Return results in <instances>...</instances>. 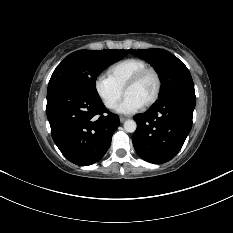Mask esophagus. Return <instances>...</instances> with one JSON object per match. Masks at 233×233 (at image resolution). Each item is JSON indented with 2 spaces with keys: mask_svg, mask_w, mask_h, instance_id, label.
Segmentation results:
<instances>
[{
  "mask_svg": "<svg viewBox=\"0 0 233 233\" xmlns=\"http://www.w3.org/2000/svg\"><path fill=\"white\" fill-rule=\"evenodd\" d=\"M127 118L126 117H123V116H120L119 120L121 123H123Z\"/></svg>",
  "mask_w": 233,
  "mask_h": 233,
  "instance_id": "obj_1",
  "label": "esophagus"
}]
</instances>
